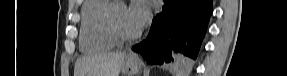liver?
<instances>
[{"label": "liver", "instance_id": "obj_1", "mask_svg": "<svg viewBox=\"0 0 287 76\" xmlns=\"http://www.w3.org/2000/svg\"><path fill=\"white\" fill-rule=\"evenodd\" d=\"M126 54L103 52L78 59L75 76H119Z\"/></svg>", "mask_w": 287, "mask_h": 76}]
</instances>
